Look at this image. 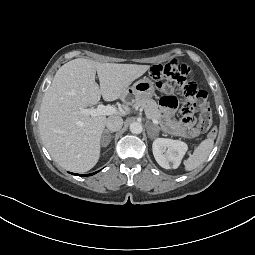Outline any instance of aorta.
<instances>
[{
  "label": "aorta",
  "instance_id": "aorta-1",
  "mask_svg": "<svg viewBox=\"0 0 255 255\" xmlns=\"http://www.w3.org/2000/svg\"><path fill=\"white\" fill-rule=\"evenodd\" d=\"M143 130L142 124L140 122H132L130 124V131L133 134H140Z\"/></svg>",
  "mask_w": 255,
  "mask_h": 255
}]
</instances>
